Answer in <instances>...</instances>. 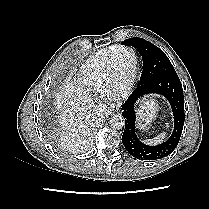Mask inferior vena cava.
<instances>
[{
    "label": "inferior vena cava",
    "mask_w": 209,
    "mask_h": 209,
    "mask_svg": "<svg viewBox=\"0 0 209 209\" xmlns=\"http://www.w3.org/2000/svg\"><path fill=\"white\" fill-rule=\"evenodd\" d=\"M107 111V106L104 105V104H100V105H97L95 106L93 112L95 115H100V114H103Z\"/></svg>",
    "instance_id": "602c4592"
}]
</instances>
